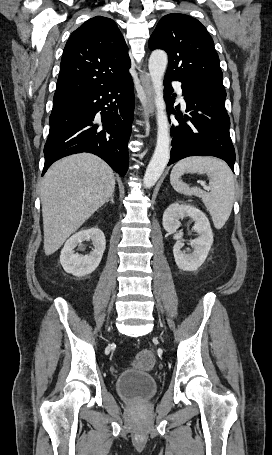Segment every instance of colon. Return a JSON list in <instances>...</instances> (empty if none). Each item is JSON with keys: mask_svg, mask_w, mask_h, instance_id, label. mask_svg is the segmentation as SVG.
<instances>
[{"mask_svg": "<svg viewBox=\"0 0 272 455\" xmlns=\"http://www.w3.org/2000/svg\"><path fill=\"white\" fill-rule=\"evenodd\" d=\"M155 364V358L150 350L140 351L134 358V367L141 370H150Z\"/></svg>", "mask_w": 272, "mask_h": 455, "instance_id": "1", "label": "colon"}]
</instances>
